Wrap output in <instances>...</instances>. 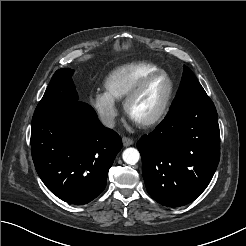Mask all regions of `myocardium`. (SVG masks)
I'll return each mask as SVG.
<instances>
[{"mask_svg": "<svg viewBox=\"0 0 246 246\" xmlns=\"http://www.w3.org/2000/svg\"><path fill=\"white\" fill-rule=\"evenodd\" d=\"M160 76L166 77L168 79L169 85H170L168 95H167L161 109L152 118H150L148 120L137 121V120L133 119L131 116V112H130L133 102L137 99V97L142 93V91L145 89V87L153 79L160 77ZM174 92H175L174 81H173L172 77L166 71L159 70L156 72H152V73L146 75L145 77H143L133 87V89L128 93V95L124 99V103H123L124 111H125L126 115L128 116V118L131 119L133 122H135L138 126H140L142 128L153 127V126L157 125L158 123H160L164 119L166 114L168 113L169 108H170L171 103H172V100H173V97H174Z\"/></svg>", "mask_w": 246, "mask_h": 246, "instance_id": "obj_1", "label": "myocardium"}]
</instances>
